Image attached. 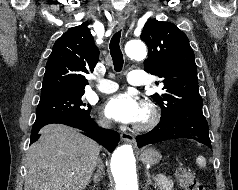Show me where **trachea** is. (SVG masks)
Returning a JSON list of instances; mask_svg holds the SVG:
<instances>
[{"instance_id": "obj_1", "label": "trachea", "mask_w": 238, "mask_h": 190, "mask_svg": "<svg viewBox=\"0 0 238 190\" xmlns=\"http://www.w3.org/2000/svg\"><path fill=\"white\" fill-rule=\"evenodd\" d=\"M120 37H121V31L116 32L113 37L111 38L110 44H109V49H110V54L112 56L113 64H114V69L117 72H120L123 67V54L120 49Z\"/></svg>"}]
</instances>
